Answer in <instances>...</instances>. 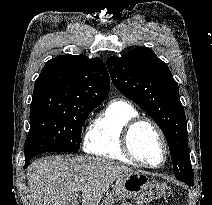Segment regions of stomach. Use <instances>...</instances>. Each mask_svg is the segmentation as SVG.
Masks as SVG:
<instances>
[{"instance_id":"1","label":"stomach","mask_w":212,"mask_h":205,"mask_svg":"<svg viewBox=\"0 0 212 205\" xmlns=\"http://www.w3.org/2000/svg\"><path fill=\"white\" fill-rule=\"evenodd\" d=\"M149 182L148 176L140 172L121 176L116 180L112 191L106 194L100 205H115L120 200L134 198L148 187Z\"/></svg>"}]
</instances>
